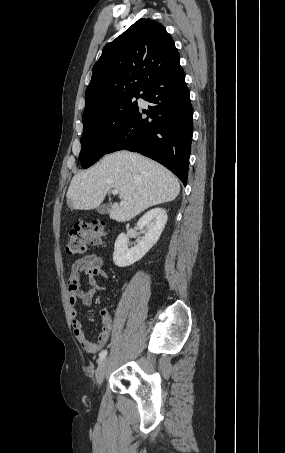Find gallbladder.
Masks as SVG:
<instances>
[{"mask_svg": "<svg viewBox=\"0 0 285 453\" xmlns=\"http://www.w3.org/2000/svg\"><path fill=\"white\" fill-rule=\"evenodd\" d=\"M109 211V207L106 205H101L97 208V212L100 214H106Z\"/></svg>", "mask_w": 285, "mask_h": 453, "instance_id": "obj_1", "label": "gallbladder"}]
</instances>
